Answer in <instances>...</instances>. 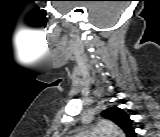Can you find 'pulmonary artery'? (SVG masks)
I'll return each instance as SVG.
<instances>
[{
    "instance_id": "e3ab8cb5",
    "label": "pulmonary artery",
    "mask_w": 160,
    "mask_h": 137,
    "mask_svg": "<svg viewBox=\"0 0 160 137\" xmlns=\"http://www.w3.org/2000/svg\"><path fill=\"white\" fill-rule=\"evenodd\" d=\"M75 137H106L102 132L100 131H85L77 134Z\"/></svg>"
}]
</instances>
